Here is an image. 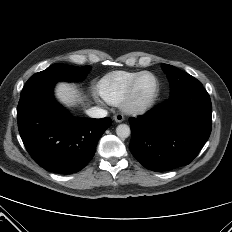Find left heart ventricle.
Listing matches in <instances>:
<instances>
[{"instance_id":"b2bd125f","label":"left heart ventricle","mask_w":232,"mask_h":232,"mask_svg":"<svg viewBox=\"0 0 232 232\" xmlns=\"http://www.w3.org/2000/svg\"><path fill=\"white\" fill-rule=\"evenodd\" d=\"M154 91V81L150 76H143L135 91V100L142 102L147 100Z\"/></svg>"}]
</instances>
